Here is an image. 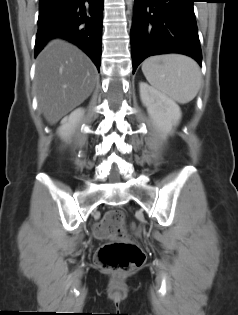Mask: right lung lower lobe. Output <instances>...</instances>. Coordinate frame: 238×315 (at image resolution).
<instances>
[{
	"mask_svg": "<svg viewBox=\"0 0 238 315\" xmlns=\"http://www.w3.org/2000/svg\"><path fill=\"white\" fill-rule=\"evenodd\" d=\"M103 0H39L35 56L61 37L80 47L100 70Z\"/></svg>",
	"mask_w": 238,
	"mask_h": 315,
	"instance_id": "1",
	"label": "right lung lower lobe"
}]
</instances>
